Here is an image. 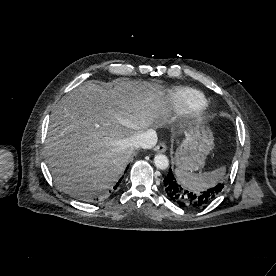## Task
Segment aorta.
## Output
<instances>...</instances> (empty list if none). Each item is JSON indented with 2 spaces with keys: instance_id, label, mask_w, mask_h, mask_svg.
<instances>
[{
  "instance_id": "1",
  "label": "aorta",
  "mask_w": 276,
  "mask_h": 276,
  "mask_svg": "<svg viewBox=\"0 0 276 276\" xmlns=\"http://www.w3.org/2000/svg\"><path fill=\"white\" fill-rule=\"evenodd\" d=\"M154 164L158 169L165 170L169 166L168 157L164 154H157L154 157Z\"/></svg>"
}]
</instances>
